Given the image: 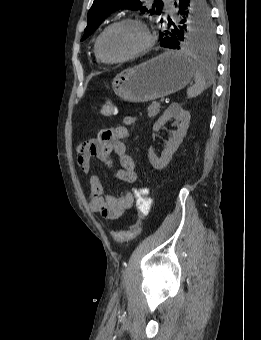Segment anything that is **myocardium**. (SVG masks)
<instances>
[{"mask_svg": "<svg viewBox=\"0 0 261 340\" xmlns=\"http://www.w3.org/2000/svg\"><path fill=\"white\" fill-rule=\"evenodd\" d=\"M121 24H133L136 25L137 27H139L145 36V42L144 44L137 49L136 51L126 55V56H122L119 58H107L106 56H104V54L101 51V41L102 38L104 37V35L112 28L121 25ZM155 42V38L152 34V32L150 31L149 27L147 26V24L145 22H143L142 20L138 19V18H134V17H124L121 18L119 20H116L114 22H112L111 24H109L108 26H106L102 32L99 34V36L96 39L95 42V51L96 54L98 55V57L105 63H121V62H125V61H129L131 59H134L136 57H139L140 55L146 53L153 45Z\"/></svg>", "mask_w": 261, "mask_h": 340, "instance_id": "1", "label": "myocardium"}]
</instances>
